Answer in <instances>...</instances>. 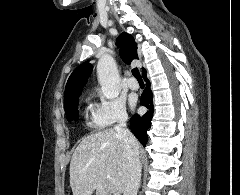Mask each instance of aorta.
Masks as SVG:
<instances>
[{"label":"aorta","instance_id":"762f6f07","mask_svg":"<svg viewBox=\"0 0 240 195\" xmlns=\"http://www.w3.org/2000/svg\"><path fill=\"white\" fill-rule=\"evenodd\" d=\"M97 78L105 98H118L121 92V82L116 62L109 54H105V56L99 58L97 64Z\"/></svg>","mask_w":240,"mask_h":195}]
</instances>
